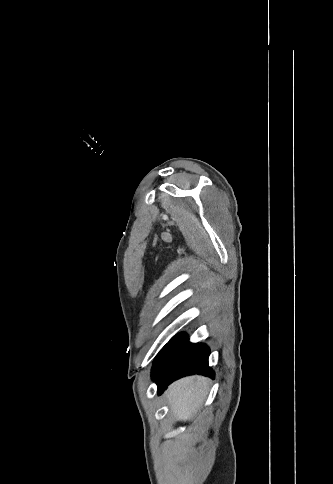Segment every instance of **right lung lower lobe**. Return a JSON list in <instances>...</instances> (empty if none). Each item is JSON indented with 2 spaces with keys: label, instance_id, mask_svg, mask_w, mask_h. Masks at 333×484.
I'll return each instance as SVG.
<instances>
[{
  "label": "right lung lower lobe",
  "instance_id": "obj_1",
  "mask_svg": "<svg viewBox=\"0 0 333 484\" xmlns=\"http://www.w3.org/2000/svg\"><path fill=\"white\" fill-rule=\"evenodd\" d=\"M210 350L204 344H193L185 333L172 338L154 360L152 378L158 385V393L163 392L174 380L199 373L213 377L208 366Z\"/></svg>",
  "mask_w": 333,
  "mask_h": 484
}]
</instances>
